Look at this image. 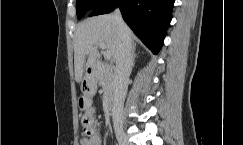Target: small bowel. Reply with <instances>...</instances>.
Masks as SVG:
<instances>
[{
    "label": "small bowel",
    "mask_w": 243,
    "mask_h": 145,
    "mask_svg": "<svg viewBox=\"0 0 243 145\" xmlns=\"http://www.w3.org/2000/svg\"><path fill=\"white\" fill-rule=\"evenodd\" d=\"M86 116L89 117L91 123H93L92 111H90ZM80 145H101V136L97 131L93 129L89 136H84L80 139Z\"/></svg>",
    "instance_id": "c3829d8e"
}]
</instances>
